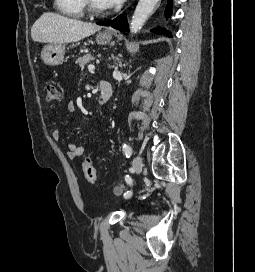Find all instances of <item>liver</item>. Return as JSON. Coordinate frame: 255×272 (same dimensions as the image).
<instances>
[{
  "instance_id": "6515ba94",
  "label": "liver",
  "mask_w": 255,
  "mask_h": 272,
  "mask_svg": "<svg viewBox=\"0 0 255 272\" xmlns=\"http://www.w3.org/2000/svg\"><path fill=\"white\" fill-rule=\"evenodd\" d=\"M101 26L68 18L56 13H44L32 26L31 37L34 42L63 44L86 38Z\"/></svg>"
}]
</instances>
